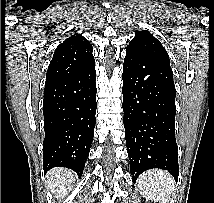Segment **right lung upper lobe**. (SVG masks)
I'll return each instance as SVG.
<instances>
[{
  "instance_id": "cb5924a9",
  "label": "right lung upper lobe",
  "mask_w": 214,
  "mask_h": 203,
  "mask_svg": "<svg viewBox=\"0 0 214 203\" xmlns=\"http://www.w3.org/2000/svg\"><path fill=\"white\" fill-rule=\"evenodd\" d=\"M93 47L85 37L76 34L67 38L55 50L49 64L45 85L75 75L95 63Z\"/></svg>"
}]
</instances>
